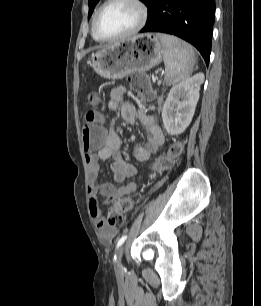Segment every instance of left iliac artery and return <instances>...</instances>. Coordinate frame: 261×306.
Returning <instances> with one entry per match:
<instances>
[{"label":"left iliac artery","mask_w":261,"mask_h":306,"mask_svg":"<svg viewBox=\"0 0 261 306\" xmlns=\"http://www.w3.org/2000/svg\"><path fill=\"white\" fill-rule=\"evenodd\" d=\"M127 239V235H123L117 242L116 248H119ZM114 260H116V255H114Z\"/></svg>","instance_id":"44dca946"}]
</instances>
